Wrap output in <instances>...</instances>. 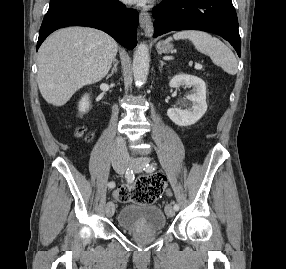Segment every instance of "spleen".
<instances>
[{
	"mask_svg": "<svg viewBox=\"0 0 286 269\" xmlns=\"http://www.w3.org/2000/svg\"><path fill=\"white\" fill-rule=\"evenodd\" d=\"M188 39L201 53L208 55L212 61L220 66L225 72L231 75L237 73V60L233 52L218 38L212 37L203 31H179L166 40Z\"/></svg>",
	"mask_w": 286,
	"mask_h": 269,
	"instance_id": "spleen-1",
	"label": "spleen"
}]
</instances>
